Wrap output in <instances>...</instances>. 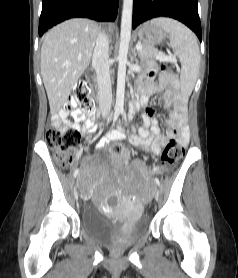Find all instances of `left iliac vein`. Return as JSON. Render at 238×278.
Wrapping results in <instances>:
<instances>
[{"label": "left iliac vein", "mask_w": 238, "mask_h": 278, "mask_svg": "<svg viewBox=\"0 0 238 278\" xmlns=\"http://www.w3.org/2000/svg\"><path fill=\"white\" fill-rule=\"evenodd\" d=\"M159 194H160V191H159V190H158V191H156V193H155V198H156V199H158Z\"/></svg>", "instance_id": "4c4485c4"}]
</instances>
